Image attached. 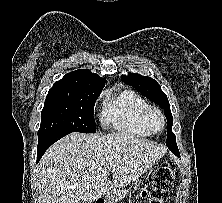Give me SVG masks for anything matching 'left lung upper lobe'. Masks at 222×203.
Returning a JSON list of instances; mask_svg holds the SVG:
<instances>
[{
    "instance_id": "left-lung-upper-lobe-1",
    "label": "left lung upper lobe",
    "mask_w": 222,
    "mask_h": 203,
    "mask_svg": "<svg viewBox=\"0 0 222 203\" xmlns=\"http://www.w3.org/2000/svg\"><path fill=\"white\" fill-rule=\"evenodd\" d=\"M121 79L165 110L164 114L167 119L166 145L168 148L177 146L175 134L172 132L173 119L170 111V104L167 96L162 92L160 85L148 76H142L131 72H129L127 76L122 75Z\"/></svg>"
}]
</instances>
